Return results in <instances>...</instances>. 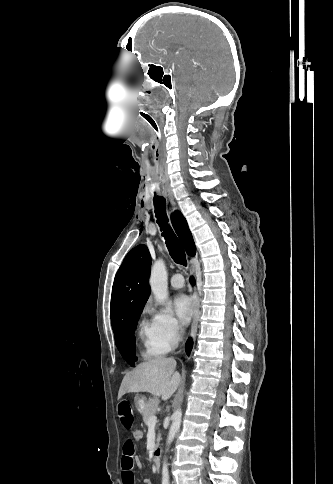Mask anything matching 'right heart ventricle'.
<instances>
[{"instance_id": "right-heart-ventricle-1", "label": "right heart ventricle", "mask_w": 333, "mask_h": 484, "mask_svg": "<svg viewBox=\"0 0 333 484\" xmlns=\"http://www.w3.org/2000/svg\"><path fill=\"white\" fill-rule=\"evenodd\" d=\"M138 334L142 343V355L145 358L158 357L165 353L158 343L152 322L140 321Z\"/></svg>"}]
</instances>
